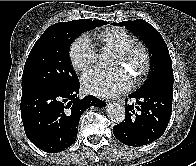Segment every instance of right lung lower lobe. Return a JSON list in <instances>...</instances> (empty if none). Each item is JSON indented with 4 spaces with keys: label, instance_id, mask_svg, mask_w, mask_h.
<instances>
[{
    "label": "right lung lower lobe",
    "instance_id": "obj_1",
    "mask_svg": "<svg viewBox=\"0 0 196 166\" xmlns=\"http://www.w3.org/2000/svg\"><path fill=\"white\" fill-rule=\"evenodd\" d=\"M80 84L68 89L32 84L22 87L21 117L28 139L39 149L57 153L70 147L78 132L80 116L90 106L106 103L89 95L79 99Z\"/></svg>",
    "mask_w": 196,
    "mask_h": 166
}]
</instances>
